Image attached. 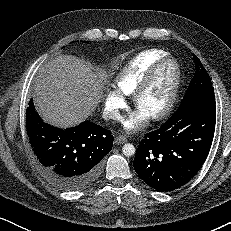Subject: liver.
I'll return each mask as SVG.
<instances>
[{
	"mask_svg": "<svg viewBox=\"0 0 231 231\" xmlns=\"http://www.w3.org/2000/svg\"><path fill=\"white\" fill-rule=\"evenodd\" d=\"M103 87V75L84 60L59 55L39 68L33 97L45 121L70 127L81 123L95 110Z\"/></svg>",
	"mask_w": 231,
	"mask_h": 231,
	"instance_id": "6515ba94",
	"label": "liver"
}]
</instances>
